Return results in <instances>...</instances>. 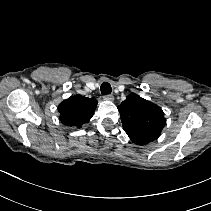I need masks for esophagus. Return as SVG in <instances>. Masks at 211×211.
Returning <instances> with one entry per match:
<instances>
[{"mask_svg":"<svg viewBox=\"0 0 211 211\" xmlns=\"http://www.w3.org/2000/svg\"><path fill=\"white\" fill-rule=\"evenodd\" d=\"M103 98H104V100H106V101H113V100H114V96L111 95V94L104 95Z\"/></svg>","mask_w":211,"mask_h":211,"instance_id":"obj_1","label":"esophagus"}]
</instances>
